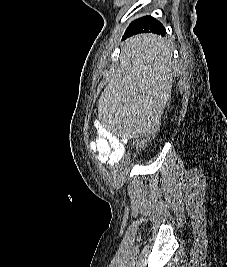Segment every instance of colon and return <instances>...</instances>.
<instances>
[{
	"instance_id": "5ec220e1",
	"label": "colon",
	"mask_w": 227,
	"mask_h": 267,
	"mask_svg": "<svg viewBox=\"0 0 227 267\" xmlns=\"http://www.w3.org/2000/svg\"><path fill=\"white\" fill-rule=\"evenodd\" d=\"M155 121L151 125V129L145 130V135L141 139H137V142L134 145V149L126 155V160H128V164H135L137 158H140L143 155V152L147 151L148 144L151 143V140L155 139V136L157 135V131L162 130V124L163 121L161 118L163 117V114L160 113V115H154Z\"/></svg>"
}]
</instances>
